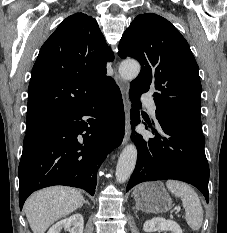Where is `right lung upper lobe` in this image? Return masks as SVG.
<instances>
[{"label": "right lung upper lobe", "mask_w": 227, "mask_h": 233, "mask_svg": "<svg viewBox=\"0 0 227 233\" xmlns=\"http://www.w3.org/2000/svg\"><path fill=\"white\" fill-rule=\"evenodd\" d=\"M95 19L66 18L41 47L29 83L26 133L78 110L110 88L113 60Z\"/></svg>", "instance_id": "cb5924a9"}]
</instances>
